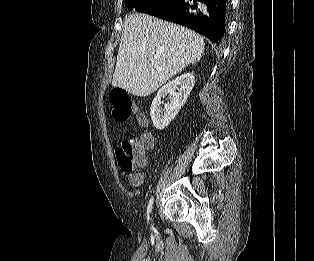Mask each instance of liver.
<instances>
[{"label":"liver","instance_id":"6515ba94","mask_svg":"<svg viewBox=\"0 0 314 261\" xmlns=\"http://www.w3.org/2000/svg\"><path fill=\"white\" fill-rule=\"evenodd\" d=\"M204 46V39L190 29L132 12L124 19L112 85L135 96H149L200 61Z\"/></svg>","mask_w":314,"mask_h":261}]
</instances>
